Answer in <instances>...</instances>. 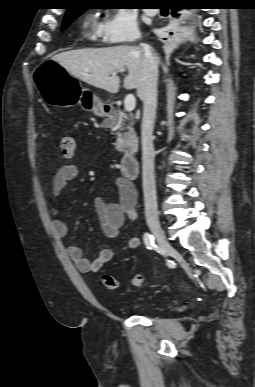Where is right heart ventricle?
I'll list each match as a JSON object with an SVG mask.
<instances>
[{"instance_id": "e07e8e85", "label": "right heart ventricle", "mask_w": 255, "mask_h": 387, "mask_svg": "<svg viewBox=\"0 0 255 387\" xmlns=\"http://www.w3.org/2000/svg\"><path fill=\"white\" fill-rule=\"evenodd\" d=\"M100 26L95 18L89 17L84 22V28L91 38H95L99 34Z\"/></svg>"}]
</instances>
